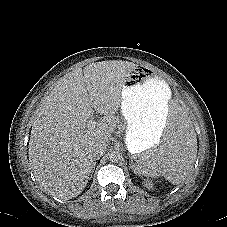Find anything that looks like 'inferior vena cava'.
I'll return each instance as SVG.
<instances>
[{
    "mask_svg": "<svg viewBox=\"0 0 227 227\" xmlns=\"http://www.w3.org/2000/svg\"><path fill=\"white\" fill-rule=\"evenodd\" d=\"M107 148V145L105 142H98L96 143L92 148V154L94 158H100L103 156Z\"/></svg>",
    "mask_w": 227,
    "mask_h": 227,
    "instance_id": "602c4592",
    "label": "inferior vena cava"
}]
</instances>
